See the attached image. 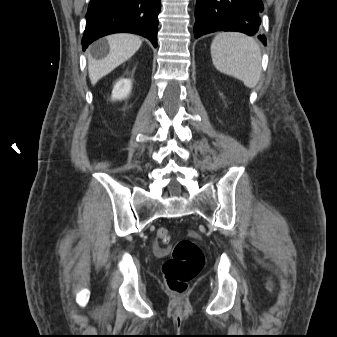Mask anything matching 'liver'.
<instances>
[{
  "mask_svg": "<svg viewBox=\"0 0 337 337\" xmlns=\"http://www.w3.org/2000/svg\"><path fill=\"white\" fill-rule=\"evenodd\" d=\"M109 53L101 60L89 56L88 72L92 85L109 74L116 67L131 58L140 48L142 41L137 35L117 33L106 37Z\"/></svg>",
  "mask_w": 337,
  "mask_h": 337,
  "instance_id": "6515ba94",
  "label": "liver"
}]
</instances>
